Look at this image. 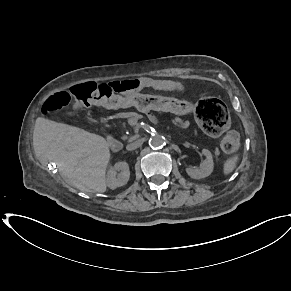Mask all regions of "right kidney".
Segmentation results:
<instances>
[{
	"label": "right kidney",
	"mask_w": 291,
	"mask_h": 291,
	"mask_svg": "<svg viewBox=\"0 0 291 291\" xmlns=\"http://www.w3.org/2000/svg\"><path fill=\"white\" fill-rule=\"evenodd\" d=\"M130 177L129 166L126 162H118L107 172V186L110 189H116L125 185Z\"/></svg>",
	"instance_id": "obj_1"
}]
</instances>
